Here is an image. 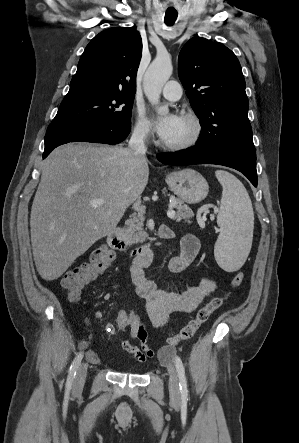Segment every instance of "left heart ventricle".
Wrapping results in <instances>:
<instances>
[{
    "instance_id": "obj_1",
    "label": "left heart ventricle",
    "mask_w": 299,
    "mask_h": 443,
    "mask_svg": "<svg viewBox=\"0 0 299 443\" xmlns=\"http://www.w3.org/2000/svg\"><path fill=\"white\" fill-rule=\"evenodd\" d=\"M192 127L189 122L180 118L179 123L173 133L164 141L175 143L186 140L191 135Z\"/></svg>"
}]
</instances>
